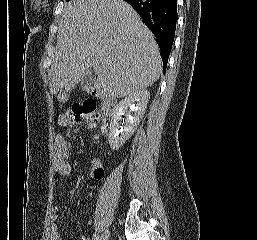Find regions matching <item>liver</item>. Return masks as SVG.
Segmentation results:
<instances>
[{
    "label": "liver",
    "mask_w": 257,
    "mask_h": 240,
    "mask_svg": "<svg viewBox=\"0 0 257 240\" xmlns=\"http://www.w3.org/2000/svg\"><path fill=\"white\" fill-rule=\"evenodd\" d=\"M99 63L98 93L125 97L156 82L162 72L159 47L137 12L124 0H72L58 24L50 92L65 103L71 91Z\"/></svg>",
    "instance_id": "6515ba94"
}]
</instances>
